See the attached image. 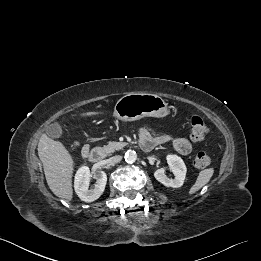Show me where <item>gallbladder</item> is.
Listing matches in <instances>:
<instances>
[{"label":"gallbladder","instance_id":"obj_1","mask_svg":"<svg viewBox=\"0 0 261 261\" xmlns=\"http://www.w3.org/2000/svg\"><path fill=\"white\" fill-rule=\"evenodd\" d=\"M47 134L52 138H60L63 134L62 127L59 123L50 125L47 130Z\"/></svg>","mask_w":261,"mask_h":261}]
</instances>
